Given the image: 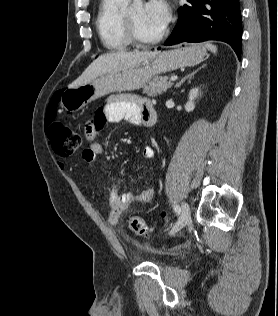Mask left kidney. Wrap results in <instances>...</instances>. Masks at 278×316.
<instances>
[{
  "instance_id": "obj_1",
  "label": "left kidney",
  "mask_w": 278,
  "mask_h": 316,
  "mask_svg": "<svg viewBox=\"0 0 278 316\" xmlns=\"http://www.w3.org/2000/svg\"><path fill=\"white\" fill-rule=\"evenodd\" d=\"M198 93H199V89L198 88L192 89L190 91V93H189V100H188V102L185 105V110L187 112H191V111L194 110V108H195L194 99L198 96Z\"/></svg>"
}]
</instances>
